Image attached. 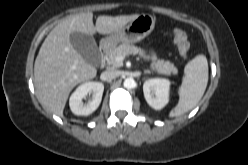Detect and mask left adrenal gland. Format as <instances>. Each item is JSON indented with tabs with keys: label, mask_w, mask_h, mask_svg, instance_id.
I'll return each mask as SVG.
<instances>
[{
	"label": "left adrenal gland",
	"mask_w": 248,
	"mask_h": 165,
	"mask_svg": "<svg viewBox=\"0 0 248 165\" xmlns=\"http://www.w3.org/2000/svg\"><path fill=\"white\" fill-rule=\"evenodd\" d=\"M144 73H151L149 70H144Z\"/></svg>",
	"instance_id": "left-adrenal-gland-1"
}]
</instances>
